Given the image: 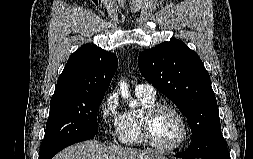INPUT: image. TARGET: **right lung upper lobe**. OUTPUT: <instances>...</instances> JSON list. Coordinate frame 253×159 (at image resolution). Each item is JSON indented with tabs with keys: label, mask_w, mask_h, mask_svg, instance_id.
Returning a JSON list of instances; mask_svg holds the SVG:
<instances>
[{
	"label": "right lung upper lobe",
	"mask_w": 253,
	"mask_h": 159,
	"mask_svg": "<svg viewBox=\"0 0 253 159\" xmlns=\"http://www.w3.org/2000/svg\"><path fill=\"white\" fill-rule=\"evenodd\" d=\"M117 66L115 54L85 44L69 57L52 98L80 93L105 94Z\"/></svg>",
	"instance_id": "1"
}]
</instances>
